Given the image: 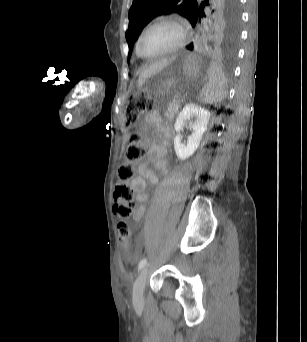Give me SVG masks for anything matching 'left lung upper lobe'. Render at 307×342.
<instances>
[{
    "mask_svg": "<svg viewBox=\"0 0 307 342\" xmlns=\"http://www.w3.org/2000/svg\"><path fill=\"white\" fill-rule=\"evenodd\" d=\"M204 4L208 5V0ZM179 13L195 27L204 15L197 0H133L129 10V28L126 40L129 44V57L133 45L142 29L156 16ZM240 9L238 0H213L209 17L208 32L203 41L210 40L218 49L227 54H234L239 38ZM193 43L187 49L193 50Z\"/></svg>",
    "mask_w": 307,
    "mask_h": 342,
    "instance_id": "obj_1",
    "label": "left lung upper lobe"
}]
</instances>
